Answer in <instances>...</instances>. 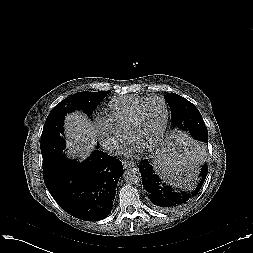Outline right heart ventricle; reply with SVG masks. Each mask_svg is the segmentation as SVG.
<instances>
[{"instance_id":"e07e8e85","label":"right heart ventricle","mask_w":253,"mask_h":253,"mask_svg":"<svg viewBox=\"0 0 253 253\" xmlns=\"http://www.w3.org/2000/svg\"><path fill=\"white\" fill-rule=\"evenodd\" d=\"M149 97L127 95L112 99L107 107V120L115 130L126 134L131 118L140 104Z\"/></svg>"}]
</instances>
